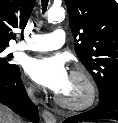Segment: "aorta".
I'll return each instance as SVG.
<instances>
[{
  "mask_svg": "<svg viewBox=\"0 0 118 123\" xmlns=\"http://www.w3.org/2000/svg\"><path fill=\"white\" fill-rule=\"evenodd\" d=\"M65 16V10L61 7L52 6L48 10L47 18L49 22L61 20Z\"/></svg>",
  "mask_w": 118,
  "mask_h": 123,
  "instance_id": "762f6f07",
  "label": "aorta"
}]
</instances>
